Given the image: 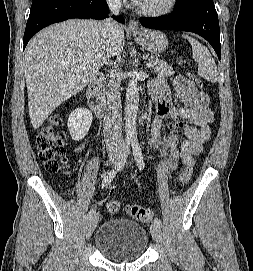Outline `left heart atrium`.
<instances>
[{"mask_svg":"<svg viewBox=\"0 0 253 271\" xmlns=\"http://www.w3.org/2000/svg\"><path fill=\"white\" fill-rule=\"evenodd\" d=\"M135 4H138L140 0H132Z\"/></svg>","mask_w":253,"mask_h":271,"instance_id":"39dd6f15","label":"left heart atrium"}]
</instances>
